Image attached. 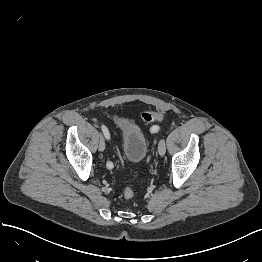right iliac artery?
<instances>
[{"label":"right iliac artery","instance_id":"obj_1","mask_svg":"<svg viewBox=\"0 0 262 262\" xmlns=\"http://www.w3.org/2000/svg\"><path fill=\"white\" fill-rule=\"evenodd\" d=\"M102 131H103V134L105 135V137L107 138V139H109L110 138V134H109V131H108V129L104 126V125H102ZM107 167L108 168H112L113 167V164L111 163V162H107Z\"/></svg>","mask_w":262,"mask_h":262}]
</instances>
